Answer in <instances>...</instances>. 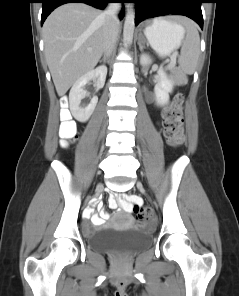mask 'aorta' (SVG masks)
I'll return each instance as SVG.
<instances>
[{
    "mask_svg": "<svg viewBox=\"0 0 239 296\" xmlns=\"http://www.w3.org/2000/svg\"><path fill=\"white\" fill-rule=\"evenodd\" d=\"M134 28H135V11L133 9V6L131 5L127 9L125 22H124V29H123V41L126 46H130L132 44Z\"/></svg>",
    "mask_w": 239,
    "mask_h": 296,
    "instance_id": "aorta-1",
    "label": "aorta"
}]
</instances>
